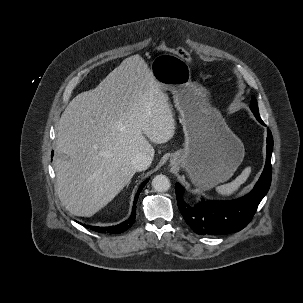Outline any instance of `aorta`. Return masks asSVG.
I'll return each mask as SVG.
<instances>
[{
	"label": "aorta",
	"instance_id": "1",
	"mask_svg": "<svg viewBox=\"0 0 303 303\" xmlns=\"http://www.w3.org/2000/svg\"><path fill=\"white\" fill-rule=\"evenodd\" d=\"M152 187L157 192H166L170 188V181L165 175H157L152 180Z\"/></svg>",
	"mask_w": 303,
	"mask_h": 303
}]
</instances>
